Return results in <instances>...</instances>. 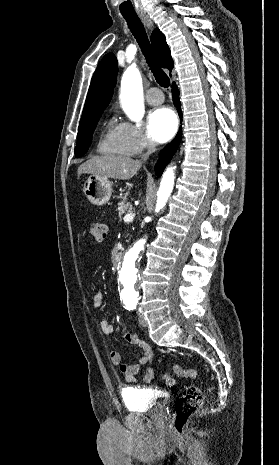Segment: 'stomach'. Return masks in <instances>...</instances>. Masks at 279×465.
<instances>
[{
  "mask_svg": "<svg viewBox=\"0 0 279 465\" xmlns=\"http://www.w3.org/2000/svg\"><path fill=\"white\" fill-rule=\"evenodd\" d=\"M83 192L93 205L102 206L110 200L112 185L108 178L90 175L84 182Z\"/></svg>",
  "mask_w": 279,
  "mask_h": 465,
  "instance_id": "0dacf381",
  "label": "stomach"
}]
</instances>
